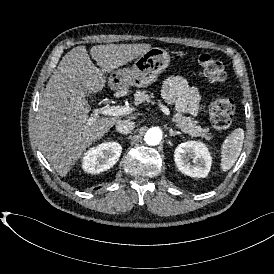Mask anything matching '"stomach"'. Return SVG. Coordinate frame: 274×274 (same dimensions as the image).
<instances>
[{
	"mask_svg": "<svg viewBox=\"0 0 274 274\" xmlns=\"http://www.w3.org/2000/svg\"><path fill=\"white\" fill-rule=\"evenodd\" d=\"M171 57L161 47H153L139 56L127 71H114L110 76L111 86L115 90L124 91L123 85L146 88L157 81L158 76L169 67Z\"/></svg>",
	"mask_w": 274,
	"mask_h": 274,
	"instance_id": "1",
	"label": "stomach"
}]
</instances>
